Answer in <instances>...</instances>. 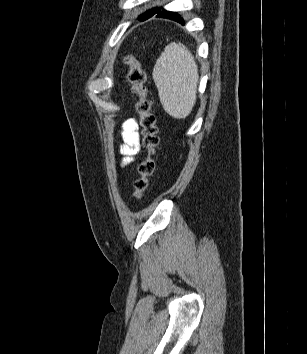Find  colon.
<instances>
[{"label":"colon","instance_id":"colon-1","mask_svg":"<svg viewBox=\"0 0 307 354\" xmlns=\"http://www.w3.org/2000/svg\"><path fill=\"white\" fill-rule=\"evenodd\" d=\"M125 62L129 67L128 80L137 100L136 109L140 116L145 148V157L138 168L139 176L134 182V196L140 200L147 191L149 178L154 172L153 155L159 143L158 127L156 117L151 110L152 101L147 95L145 72L139 60L134 55L129 54L125 57Z\"/></svg>","mask_w":307,"mask_h":354}]
</instances>
